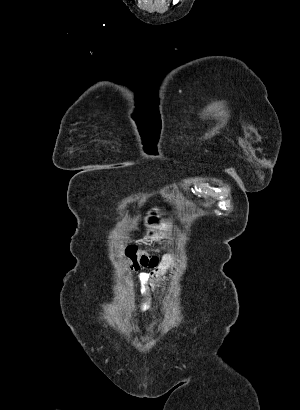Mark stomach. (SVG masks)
<instances>
[{"label":"stomach","mask_w":300,"mask_h":410,"mask_svg":"<svg viewBox=\"0 0 300 410\" xmlns=\"http://www.w3.org/2000/svg\"><path fill=\"white\" fill-rule=\"evenodd\" d=\"M144 224L147 228L146 237L150 239L165 237L173 225L171 219L165 218V213L153 209L146 217Z\"/></svg>","instance_id":"stomach-1"}]
</instances>
